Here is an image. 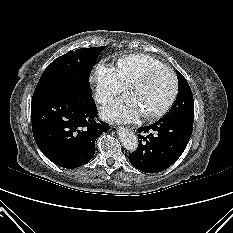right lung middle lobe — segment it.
Here are the masks:
<instances>
[{"mask_svg":"<svg viewBox=\"0 0 233 233\" xmlns=\"http://www.w3.org/2000/svg\"><path fill=\"white\" fill-rule=\"evenodd\" d=\"M105 46L77 49L54 60L43 72L33 98L65 89L71 84L90 87L93 65Z\"/></svg>","mask_w":233,"mask_h":233,"instance_id":"1","label":"right lung middle lobe"}]
</instances>
